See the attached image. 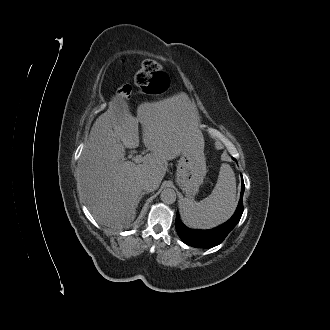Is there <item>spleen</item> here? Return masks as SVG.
Segmentation results:
<instances>
[{
    "mask_svg": "<svg viewBox=\"0 0 330 330\" xmlns=\"http://www.w3.org/2000/svg\"><path fill=\"white\" fill-rule=\"evenodd\" d=\"M236 207V178L229 164L220 167L212 193L200 202L184 198L181 203L182 219L192 228L209 229L228 220Z\"/></svg>",
    "mask_w": 330,
    "mask_h": 330,
    "instance_id": "3e777b00",
    "label": "spleen"
}]
</instances>
